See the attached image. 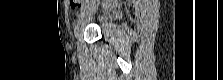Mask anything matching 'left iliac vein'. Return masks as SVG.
<instances>
[{
  "label": "left iliac vein",
  "instance_id": "4c4485c4",
  "mask_svg": "<svg viewBox=\"0 0 223 80\" xmlns=\"http://www.w3.org/2000/svg\"><path fill=\"white\" fill-rule=\"evenodd\" d=\"M96 10H97V4H95V3L87 6V8L83 12V14L79 17V19L75 25V29H74L75 38H78L80 36V34L82 33L85 26L92 19Z\"/></svg>",
  "mask_w": 223,
  "mask_h": 80
}]
</instances>
